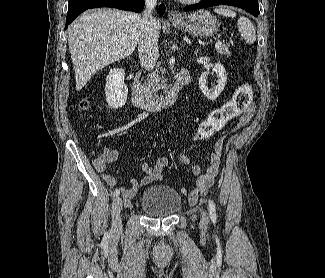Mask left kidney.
I'll use <instances>...</instances> for the list:
<instances>
[{"label": "left kidney", "mask_w": 325, "mask_h": 278, "mask_svg": "<svg viewBox=\"0 0 325 278\" xmlns=\"http://www.w3.org/2000/svg\"><path fill=\"white\" fill-rule=\"evenodd\" d=\"M212 72L217 75V85L211 89L208 88V72H204L199 78V87L204 96L209 100H215L222 93L227 81V73L222 64L217 63Z\"/></svg>", "instance_id": "obj_1"}]
</instances>
